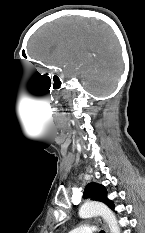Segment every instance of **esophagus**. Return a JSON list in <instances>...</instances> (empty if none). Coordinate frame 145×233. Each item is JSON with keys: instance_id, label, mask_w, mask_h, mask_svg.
I'll list each match as a JSON object with an SVG mask.
<instances>
[{"instance_id": "obj_1", "label": "esophagus", "mask_w": 145, "mask_h": 233, "mask_svg": "<svg viewBox=\"0 0 145 233\" xmlns=\"http://www.w3.org/2000/svg\"><path fill=\"white\" fill-rule=\"evenodd\" d=\"M99 221L103 225V227L105 229V233H109V229H108L107 224L102 219H100Z\"/></svg>"}]
</instances>
